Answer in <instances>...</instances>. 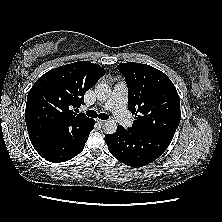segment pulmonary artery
<instances>
[{"label": "pulmonary artery", "mask_w": 222, "mask_h": 222, "mask_svg": "<svg viewBox=\"0 0 222 222\" xmlns=\"http://www.w3.org/2000/svg\"><path fill=\"white\" fill-rule=\"evenodd\" d=\"M127 103V87L125 83L119 82L115 85L112 95L104 104V108L111 110L116 120L125 127L132 125V120L126 109Z\"/></svg>", "instance_id": "e3ab8cb5"}]
</instances>
